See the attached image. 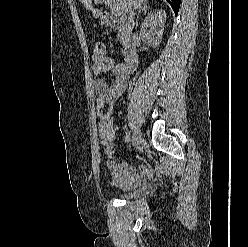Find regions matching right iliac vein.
Segmentation results:
<instances>
[{
	"label": "right iliac vein",
	"instance_id": "63e3f726",
	"mask_svg": "<svg viewBox=\"0 0 248 247\" xmlns=\"http://www.w3.org/2000/svg\"><path fill=\"white\" fill-rule=\"evenodd\" d=\"M143 139L139 131H135L133 134V145L138 147L142 143Z\"/></svg>",
	"mask_w": 248,
	"mask_h": 247
}]
</instances>
